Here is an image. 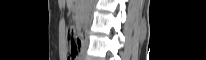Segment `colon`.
<instances>
[{
	"mask_svg": "<svg viewBox=\"0 0 206 60\" xmlns=\"http://www.w3.org/2000/svg\"><path fill=\"white\" fill-rule=\"evenodd\" d=\"M66 40L68 44V59L74 60L76 59L79 51L81 50V40L77 36L76 30L74 27L69 26L66 29Z\"/></svg>",
	"mask_w": 206,
	"mask_h": 60,
	"instance_id": "5ec220e1",
	"label": "colon"
}]
</instances>
